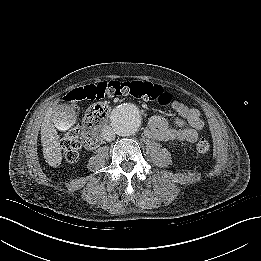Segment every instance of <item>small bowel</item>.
I'll list each match as a JSON object with an SVG mask.
<instances>
[{
  "label": "small bowel",
  "mask_w": 261,
  "mask_h": 261,
  "mask_svg": "<svg viewBox=\"0 0 261 261\" xmlns=\"http://www.w3.org/2000/svg\"><path fill=\"white\" fill-rule=\"evenodd\" d=\"M170 106L177 113V117L174 120L175 126H169L163 116L153 115L149 119L145 134L149 138L160 141L196 142L199 138V132L205 126L200 111L179 101H172Z\"/></svg>",
  "instance_id": "obj_1"
}]
</instances>
